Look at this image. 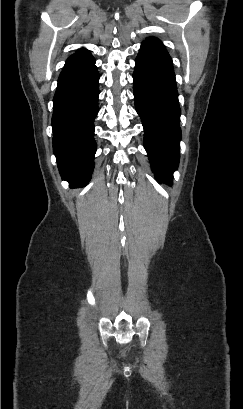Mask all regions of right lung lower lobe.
Returning <instances> with one entry per match:
<instances>
[{
	"label": "right lung lower lobe",
	"mask_w": 243,
	"mask_h": 409,
	"mask_svg": "<svg viewBox=\"0 0 243 409\" xmlns=\"http://www.w3.org/2000/svg\"><path fill=\"white\" fill-rule=\"evenodd\" d=\"M99 73L86 49L71 55L53 98V152L62 179L86 184L94 169V119L98 113Z\"/></svg>",
	"instance_id": "obj_1"
}]
</instances>
